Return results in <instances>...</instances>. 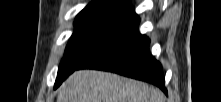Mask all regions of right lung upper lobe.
Here are the masks:
<instances>
[{"label":"right lung upper lobe","mask_w":221,"mask_h":102,"mask_svg":"<svg viewBox=\"0 0 221 102\" xmlns=\"http://www.w3.org/2000/svg\"><path fill=\"white\" fill-rule=\"evenodd\" d=\"M92 4H107L112 7L133 9V7L128 3L127 0H94L89 3L88 6Z\"/></svg>","instance_id":"right-lung-upper-lobe-1"}]
</instances>
